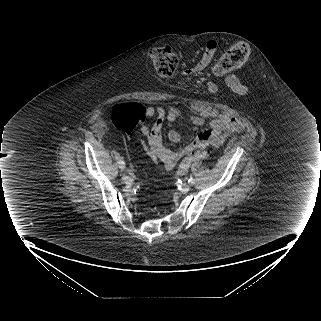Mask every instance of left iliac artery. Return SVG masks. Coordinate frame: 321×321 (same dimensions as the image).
Segmentation results:
<instances>
[{"mask_svg":"<svg viewBox=\"0 0 321 321\" xmlns=\"http://www.w3.org/2000/svg\"><path fill=\"white\" fill-rule=\"evenodd\" d=\"M188 182H189L191 185H193V184L195 183V180H194L193 177H190L189 180H188Z\"/></svg>","mask_w":321,"mask_h":321,"instance_id":"obj_1","label":"left iliac artery"}]
</instances>
